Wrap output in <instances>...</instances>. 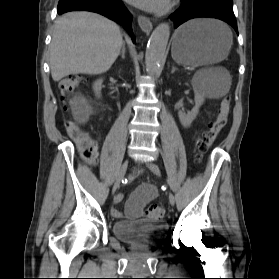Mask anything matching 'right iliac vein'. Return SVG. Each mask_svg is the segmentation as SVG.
Here are the masks:
<instances>
[{"label":"right iliac vein","instance_id":"right-iliac-vein-1","mask_svg":"<svg viewBox=\"0 0 279 279\" xmlns=\"http://www.w3.org/2000/svg\"><path fill=\"white\" fill-rule=\"evenodd\" d=\"M128 167V160H125L120 168V171L118 173V176L114 182L113 188H112V192L115 193L117 191V189L119 188L121 181L123 180L126 170Z\"/></svg>","mask_w":279,"mask_h":279}]
</instances>
